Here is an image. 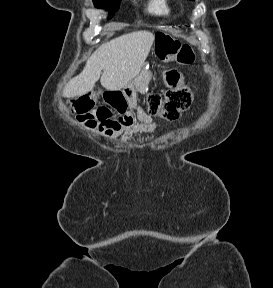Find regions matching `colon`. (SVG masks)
Here are the masks:
<instances>
[{"label":"colon","instance_id":"5ec220e1","mask_svg":"<svg viewBox=\"0 0 273 288\" xmlns=\"http://www.w3.org/2000/svg\"><path fill=\"white\" fill-rule=\"evenodd\" d=\"M156 54L159 59L181 65L195 62L193 50L164 34L156 37ZM167 90L164 96L150 93L146 98L148 113L168 121H176L191 103L190 89L181 72L169 68L164 73ZM103 104L97 98L84 94L73 100L71 111L79 122L89 128L120 129L134 124L135 117L121 91L107 90L101 93Z\"/></svg>","mask_w":273,"mask_h":288}]
</instances>
